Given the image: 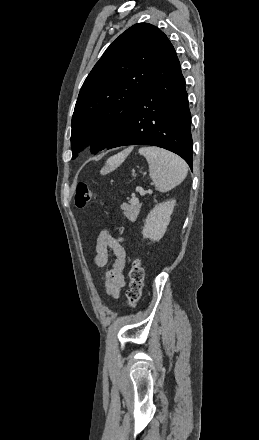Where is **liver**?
I'll return each mask as SVG.
<instances>
[{
	"label": "liver",
	"mask_w": 259,
	"mask_h": 440,
	"mask_svg": "<svg viewBox=\"0 0 259 440\" xmlns=\"http://www.w3.org/2000/svg\"><path fill=\"white\" fill-rule=\"evenodd\" d=\"M130 151L131 149H128L126 151H123L122 153L110 157L107 160L105 167L102 169L101 173L105 174L117 168L125 160Z\"/></svg>",
	"instance_id": "6515ba94"
}]
</instances>
